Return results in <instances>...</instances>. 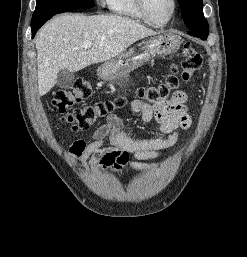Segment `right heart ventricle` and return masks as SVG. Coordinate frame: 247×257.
<instances>
[{"label": "right heart ventricle", "mask_w": 247, "mask_h": 257, "mask_svg": "<svg viewBox=\"0 0 247 257\" xmlns=\"http://www.w3.org/2000/svg\"><path fill=\"white\" fill-rule=\"evenodd\" d=\"M108 9L117 15L145 21L136 0H106Z\"/></svg>", "instance_id": "1"}]
</instances>
